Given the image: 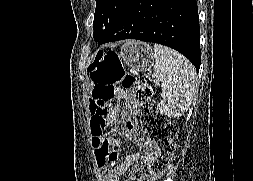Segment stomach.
I'll use <instances>...</instances> for the list:
<instances>
[{
  "label": "stomach",
  "mask_w": 253,
  "mask_h": 181,
  "mask_svg": "<svg viewBox=\"0 0 253 181\" xmlns=\"http://www.w3.org/2000/svg\"><path fill=\"white\" fill-rule=\"evenodd\" d=\"M120 61L130 68L145 72L154 65V54L149 44L139 41H126L119 53Z\"/></svg>",
  "instance_id": "obj_1"
}]
</instances>
